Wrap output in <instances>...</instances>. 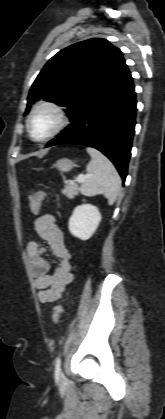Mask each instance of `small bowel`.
Here are the masks:
<instances>
[{
  "label": "small bowel",
  "instance_id": "1",
  "mask_svg": "<svg viewBox=\"0 0 165 419\" xmlns=\"http://www.w3.org/2000/svg\"><path fill=\"white\" fill-rule=\"evenodd\" d=\"M37 235L47 242L57 258L52 273L50 263L44 257L46 250L40 242L33 240L27 246V256L31 264L35 287L39 301L43 304L52 303L61 298L66 288L73 282L71 253L66 248L64 235L52 214H44L35 221Z\"/></svg>",
  "mask_w": 165,
  "mask_h": 419
}]
</instances>
